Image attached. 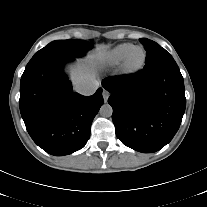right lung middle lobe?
Listing matches in <instances>:
<instances>
[{
    "label": "right lung middle lobe",
    "instance_id": "1",
    "mask_svg": "<svg viewBox=\"0 0 207 207\" xmlns=\"http://www.w3.org/2000/svg\"><path fill=\"white\" fill-rule=\"evenodd\" d=\"M91 48L92 44L84 40H55L36 52L28 64L50 56L81 57Z\"/></svg>",
    "mask_w": 207,
    "mask_h": 207
}]
</instances>
